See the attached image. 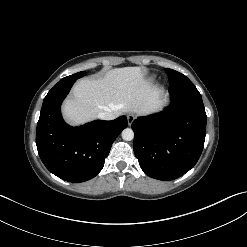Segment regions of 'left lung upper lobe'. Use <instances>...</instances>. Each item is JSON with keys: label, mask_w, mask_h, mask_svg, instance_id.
<instances>
[{"label": "left lung upper lobe", "mask_w": 247, "mask_h": 247, "mask_svg": "<svg viewBox=\"0 0 247 247\" xmlns=\"http://www.w3.org/2000/svg\"><path fill=\"white\" fill-rule=\"evenodd\" d=\"M168 74L171 87H193L194 84L182 73L172 69H165Z\"/></svg>", "instance_id": "1"}]
</instances>
